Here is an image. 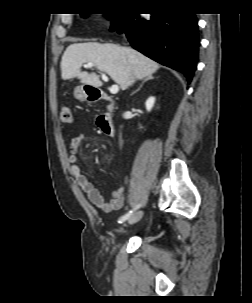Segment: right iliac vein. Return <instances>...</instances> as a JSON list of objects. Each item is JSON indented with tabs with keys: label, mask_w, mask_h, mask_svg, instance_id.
Returning <instances> with one entry per match:
<instances>
[{
	"label": "right iliac vein",
	"mask_w": 252,
	"mask_h": 303,
	"mask_svg": "<svg viewBox=\"0 0 252 303\" xmlns=\"http://www.w3.org/2000/svg\"><path fill=\"white\" fill-rule=\"evenodd\" d=\"M142 216H143V212H141V211L137 212L129 217L128 223L131 225L135 224L142 218Z\"/></svg>",
	"instance_id": "1"
}]
</instances>
